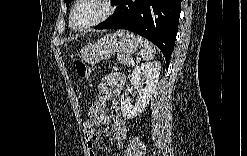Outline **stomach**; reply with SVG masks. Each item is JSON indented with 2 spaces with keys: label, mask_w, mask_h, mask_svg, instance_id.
<instances>
[{
  "label": "stomach",
  "mask_w": 247,
  "mask_h": 156,
  "mask_svg": "<svg viewBox=\"0 0 247 156\" xmlns=\"http://www.w3.org/2000/svg\"><path fill=\"white\" fill-rule=\"evenodd\" d=\"M140 48L137 37L125 30H118L107 34L96 43L86 45L81 51V58L90 65L99 63L104 58H109L114 52L131 55Z\"/></svg>",
  "instance_id": "stomach-1"
}]
</instances>
